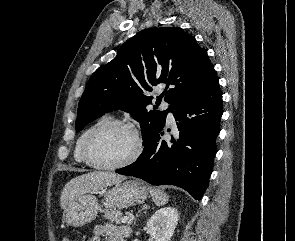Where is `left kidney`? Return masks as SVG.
Wrapping results in <instances>:
<instances>
[{
	"label": "left kidney",
	"mask_w": 295,
	"mask_h": 241,
	"mask_svg": "<svg viewBox=\"0 0 295 241\" xmlns=\"http://www.w3.org/2000/svg\"><path fill=\"white\" fill-rule=\"evenodd\" d=\"M179 213L175 208L157 210L146 224V233L154 241H170L178 224Z\"/></svg>",
	"instance_id": "obj_1"
}]
</instances>
